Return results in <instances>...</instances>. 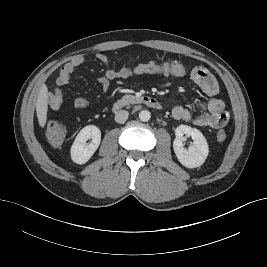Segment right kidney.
<instances>
[{"mask_svg":"<svg viewBox=\"0 0 267 267\" xmlns=\"http://www.w3.org/2000/svg\"><path fill=\"white\" fill-rule=\"evenodd\" d=\"M92 139L90 143H87ZM101 142V131L94 125L84 127L76 136L71 146V159L77 164H85L98 149Z\"/></svg>","mask_w":267,"mask_h":267,"instance_id":"right-kidney-1","label":"right kidney"}]
</instances>
